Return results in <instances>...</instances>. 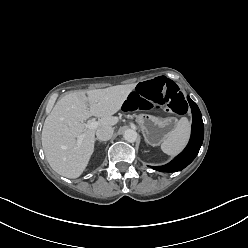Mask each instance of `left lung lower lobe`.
<instances>
[{"mask_svg": "<svg viewBox=\"0 0 248 248\" xmlns=\"http://www.w3.org/2000/svg\"><path fill=\"white\" fill-rule=\"evenodd\" d=\"M187 100L191 107L193 115L192 131L189 143L186 148L170 163L163 166L152 167L155 170H158L160 172L180 171L194 160L200 150L204 137L202 115L196 103L189 97H187Z\"/></svg>", "mask_w": 248, "mask_h": 248, "instance_id": "left-lung-lower-lobe-1", "label": "left lung lower lobe"}]
</instances>
